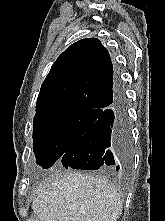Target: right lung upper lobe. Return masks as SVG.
<instances>
[{"mask_svg": "<svg viewBox=\"0 0 165 221\" xmlns=\"http://www.w3.org/2000/svg\"><path fill=\"white\" fill-rule=\"evenodd\" d=\"M115 86L107 49L96 38L82 39L68 47L52 65L42 84L36 111H100L113 99Z\"/></svg>", "mask_w": 165, "mask_h": 221, "instance_id": "cb5924a9", "label": "right lung upper lobe"}]
</instances>
